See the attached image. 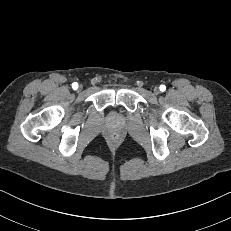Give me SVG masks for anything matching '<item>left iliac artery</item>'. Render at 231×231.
I'll use <instances>...</instances> for the list:
<instances>
[{
  "instance_id": "obj_1",
  "label": "left iliac artery",
  "mask_w": 231,
  "mask_h": 231,
  "mask_svg": "<svg viewBox=\"0 0 231 231\" xmlns=\"http://www.w3.org/2000/svg\"><path fill=\"white\" fill-rule=\"evenodd\" d=\"M165 90H166V86H165V85H161V86H160V91L163 92V91H165Z\"/></svg>"
}]
</instances>
